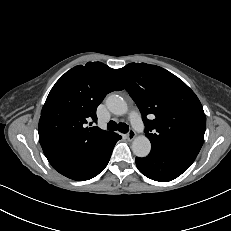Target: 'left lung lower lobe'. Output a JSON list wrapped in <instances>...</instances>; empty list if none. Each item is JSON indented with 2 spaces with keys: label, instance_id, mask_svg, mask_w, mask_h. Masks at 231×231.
<instances>
[{
  "label": "left lung lower lobe",
  "instance_id": "1",
  "mask_svg": "<svg viewBox=\"0 0 231 231\" xmlns=\"http://www.w3.org/2000/svg\"><path fill=\"white\" fill-rule=\"evenodd\" d=\"M196 157L195 154L180 150L152 147L147 157H136V165L148 178L168 182L185 172Z\"/></svg>",
  "mask_w": 231,
  "mask_h": 231
}]
</instances>
